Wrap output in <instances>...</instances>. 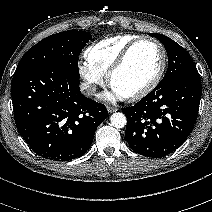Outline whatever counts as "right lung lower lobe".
<instances>
[{
	"label": "right lung lower lobe",
	"mask_w": 212,
	"mask_h": 212,
	"mask_svg": "<svg viewBox=\"0 0 212 212\" xmlns=\"http://www.w3.org/2000/svg\"><path fill=\"white\" fill-rule=\"evenodd\" d=\"M79 78L53 67L15 74L12 104L17 129L43 158L66 161L89 149L108 115L103 104L81 94Z\"/></svg>",
	"instance_id": "98d812e1"
}]
</instances>
